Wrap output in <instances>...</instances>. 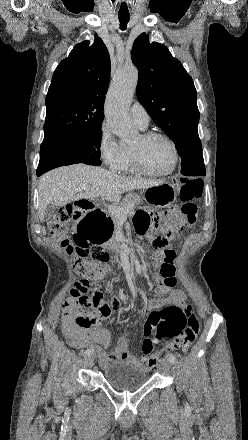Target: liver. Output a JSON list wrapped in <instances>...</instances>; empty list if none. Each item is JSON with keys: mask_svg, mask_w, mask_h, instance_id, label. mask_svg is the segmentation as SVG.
<instances>
[{"mask_svg": "<svg viewBox=\"0 0 248 440\" xmlns=\"http://www.w3.org/2000/svg\"><path fill=\"white\" fill-rule=\"evenodd\" d=\"M162 181L117 175L101 167L85 164L63 166L45 173L39 180V218L42 221L49 204L64 206L78 199L105 197L117 202L122 194L147 189ZM86 187L85 190H81Z\"/></svg>", "mask_w": 248, "mask_h": 440, "instance_id": "1", "label": "liver"}]
</instances>
